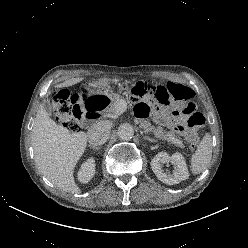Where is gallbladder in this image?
<instances>
[{"label":"gallbladder","mask_w":248,"mask_h":248,"mask_svg":"<svg viewBox=\"0 0 248 248\" xmlns=\"http://www.w3.org/2000/svg\"><path fill=\"white\" fill-rule=\"evenodd\" d=\"M43 107L48 114H52L53 106L49 100L43 102Z\"/></svg>","instance_id":"obj_1"}]
</instances>
